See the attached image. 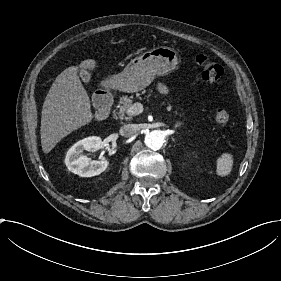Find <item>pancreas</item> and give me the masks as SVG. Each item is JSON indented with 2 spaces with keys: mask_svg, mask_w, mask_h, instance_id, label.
I'll list each match as a JSON object with an SVG mask.
<instances>
[{
  "mask_svg": "<svg viewBox=\"0 0 281 281\" xmlns=\"http://www.w3.org/2000/svg\"><path fill=\"white\" fill-rule=\"evenodd\" d=\"M132 96L128 97V96H123L120 98V108L119 111L116 112V114L119 116L120 119H125V120H132L133 119V115H128L125 116V113L127 111L128 108H130L132 106ZM167 110L170 111L171 110V106L169 105L167 107Z\"/></svg>",
  "mask_w": 281,
  "mask_h": 281,
  "instance_id": "obj_1",
  "label": "pancreas"
}]
</instances>
